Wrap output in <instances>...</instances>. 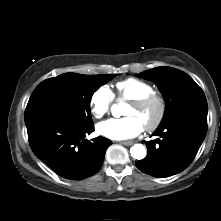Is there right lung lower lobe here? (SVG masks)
<instances>
[{
  "label": "right lung lower lobe",
  "instance_id": "right-lung-lower-lobe-1",
  "mask_svg": "<svg viewBox=\"0 0 221 221\" xmlns=\"http://www.w3.org/2000/svg\"><path fill=\"white\" fill-rule=\"evenodd\" d=\"M33 153L59 176L81 180L94 175L112 144L97 137L88 141L94 126L82 128L56 117H38L26 123Z\"/></svg>",
  "mask_w": 221,
  "mask_h": 221
}]
</instances>
